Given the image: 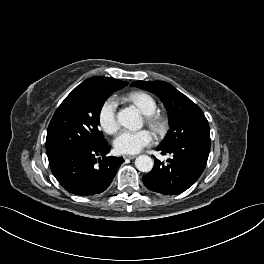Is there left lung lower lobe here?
<instances>
[{
    "label": "left lung lower lobe",
    "instance_id": "left-lung-lower-lobe-1",
    "mask_svg": "<svg viewBox=\"0 0 264 264\" xmlns=\"http://www.w3.org/2000/svg\"><path fill=\"white\" fill-rule=\"evenodd\" d=\"M162 154L169 153L167 163L155 159L153 169L143 176L151 191L176 195L191 187L202 174L210 152V140H185L169 147L158 146Z\"/></svg>",
    "mask_w": 264,
    "mask_h": 264
}]
</instances>
